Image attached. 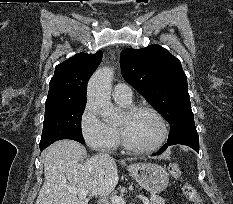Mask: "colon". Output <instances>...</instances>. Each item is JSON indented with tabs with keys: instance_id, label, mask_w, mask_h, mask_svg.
<instances>
[{
	"instance_id": "obj_1",
	"label": "colon",
	"mask_w": 233,
	"mask_h": 204,
	"mask_svg": "<svg viewBox=\"0 0 233 204\" xmlns=\"http://www.w3.org/2000/svg\"><path fill=\"white\" fill-rule=\"evenodd\" d=\"M169 173L175 179H178V180L182 179L180 165L176 162L171 163L169 165ZM182 192H183L184 196L187 198V200H189L193 204H203L198 192L191 184H189L187 182H183L182 183Z\"/></svg>"
}]
</instances>
